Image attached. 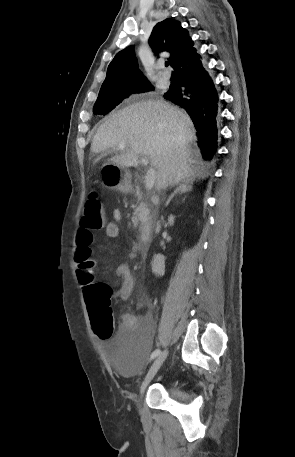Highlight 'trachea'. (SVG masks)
Returning a JSON list of instances; mask_svg holds the SVG:
<instances>
[{
	"mask_svg": "<svg viewBox=\"0 0 295 457\" xmlns=\"http://www.w3.org/2000/svg\"><path fill=\"white\" fill-rule=\"evenodd\" d=\"M168 65H169V63H168V62H165V66L167 67Z\"/></svg>",
	"mask_w": 295,
	"mask_h": 457,
	"instance_id": "1",
	"label": "trachea"
}]
</instances>
